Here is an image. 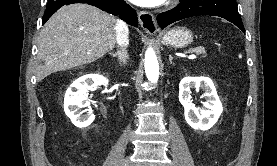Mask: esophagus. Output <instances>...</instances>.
<instances>
[{
	"instance_id": "34e87169",
	"label": "esophagus",
	"mask_w": 277,
	"mask_h": 166,
	"mask_svg": "<svg viewBox=\"0 0 277 166\" xmlns=\"http://www.w3.org/2000/svg\"><path fill=\"white\" fill-rule=\"evenodd\" d=\"M138 18L141 27L149 34H155L159 30L157 28V23L155 17L150 12L141 11L138 13Z\"/></svg>"
}]
</instances>
